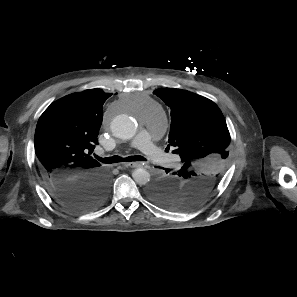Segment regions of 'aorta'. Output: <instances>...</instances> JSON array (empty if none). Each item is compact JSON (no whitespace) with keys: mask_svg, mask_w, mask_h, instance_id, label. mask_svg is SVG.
<instances>
[{"mask_svg":"<svg viewBox=\"0 0 297 297\" xmlns=\"http://www.w3.org/2000/svg\"><path fill=\"white\" fill-rule=\"evenodd\" d=\"M112 133L120 139H131L136 134V125L128 115H118L111 122ZM132 177L139 185H145L150 180V174L143 168L133 171Z\"/></svg>","mask_w":297,"mask_h":297,"instance_id":"762f6f07","label":"aorta"}]
</instances>
